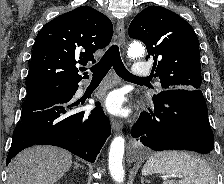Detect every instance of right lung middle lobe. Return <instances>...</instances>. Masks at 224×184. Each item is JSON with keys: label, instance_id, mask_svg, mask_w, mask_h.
<instances>
[{"label": "right lung middle lobe", "instance_id": "obj_1", "mask_svg": "<svg viewBox=\"0 0 224 184\" xmlns=\"http://www.w3.org/2000/svg\"><path fill=\"white\" fill-rule=\"evenodd\" d=\"M58 86H60V85H32V86H27V88H26V91H27L26 98L31 97L35 94L44 92V91L54 89Z\"/></svg>", "mask_w": 224, "mask_h": 184}]
</instances>
